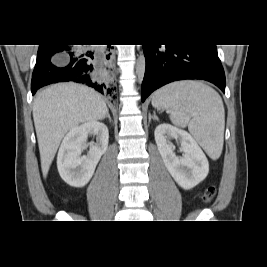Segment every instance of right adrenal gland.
I'll return each mask as SVG.
<instances>
[{
	"instance_id": "right-adrenal-gland-1",
	"label": "right adrenal gland",
	"mask_w": 267,
	"mask_h": 267,
	"mask_svg": "<svg viewBox=\"0 0 267 267\" xmlns=\"http://www.w3.org/2000/svg\"><path fill=\"white\" fill-rule=\"evenodd\" d=\"M105 118H108L109 119V122L111 123V117H110V114H109V111L107 110V113H106V116H105Z\"/></svg>"
}]
</instances>
